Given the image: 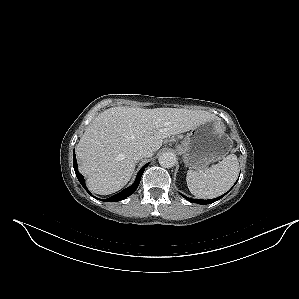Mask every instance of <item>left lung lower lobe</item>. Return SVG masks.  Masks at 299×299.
<instances>
[{
	"label": "left lung lower lobe",
	"instance_id": "left-lung-lower-lobe-1",
	"mask_svg": "<svg viewBox=\"0 0 299 299\" xmlns=\"http://www.w3.org/2000/svg\"><path fill=\"white\" fill-rule=\"evenodd\" d=\"M226 194H224V195H222V196H219V197H217V198H215V199H209V200H197V199H191V198H189V197H186V196H184V195H182L184 198H186L188 201H190V202H196V203H198V204H201V205H205V204H211V203H213V202H215V201H217V200H219V199H221L223 196H225Z\"/></svg>",
	"mask_w": 299,
	"mask_h": 299
}]
</instances>
